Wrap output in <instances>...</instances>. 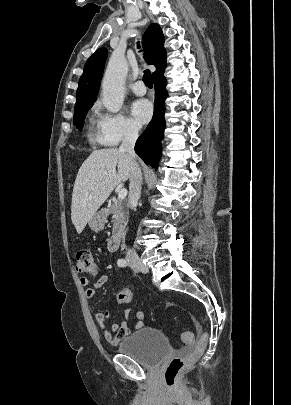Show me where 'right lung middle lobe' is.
Segmentation results:
<instances>
[{"label":"right lung middle lobe","mask_w":291,"mask_h":405,"mask_svg":"<svg viewBox=\"0 0 291 405\" xmlns=\"http://www.w3.org/2000/svg\"><path fill=\"white\" fill-rule=\"evenodd\" d=\"M90 108H86V109H82L79 111H75L74 112V125L81 130L83 128V124H84V118L86 117V114L88 112Z\"/></svg>","instance_id":"dd1d6c3e"}]
</instances>
